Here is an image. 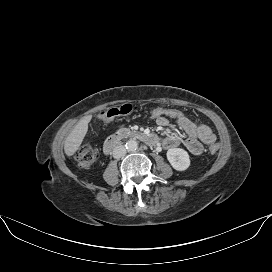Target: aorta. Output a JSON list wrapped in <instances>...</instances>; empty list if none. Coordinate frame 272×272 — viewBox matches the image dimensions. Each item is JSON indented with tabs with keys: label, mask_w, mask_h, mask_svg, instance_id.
Returning <instances> with one entry per match:
<instances>
[{
	"label": "aorta",
	"mask_w": 272,
	"mask_h": 272,
	"mask_svg": "<svg viewBox=\"0 0 272 272\" xmlns=\"http://www.w3.org/2000/svg\"><path fill=\"white\" fill-rule=\"evenodd\" d=\"M125 147L128 151H136L138 148V143L135 140H128Z\"/></svg>",
	"instance_id": "762f6f07"
}]
</instances>
